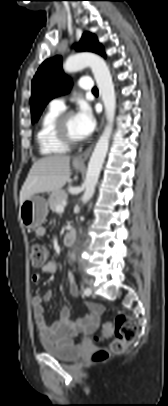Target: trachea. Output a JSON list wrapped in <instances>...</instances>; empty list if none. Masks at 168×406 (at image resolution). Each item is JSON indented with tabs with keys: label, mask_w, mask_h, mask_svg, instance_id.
<instances>
[{
	"label": "trachea",
	"mask_w": 168,
	"mask_h": 406,
	"mask_svg": "<svg viewBox=\"0 0 168 406\" xmlns=\"http://www.w3.org/2000/svg\"><path fill=\"white\" fill-rule=\"evenodd\" d=\"M92 92H93V93H98V89H97L96 87H94V88L92 89Z\"/></svg>",
	"instance_id": "trachea-1"
}]
</instances>
